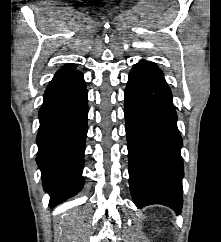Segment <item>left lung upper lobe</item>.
Instances as JSON below:
<instances>
[{
	"mask_svg": "<svg viewBox=\"0 0 221 242\" xmlns=\"http://www.w3.org/2000/svg\"><path fill=\"white\" fill-rule=\"evenodd\" d=\"M136 65H139V66H142V67H145V68L151 69V70H153L155 73H157V74H159V75H162V72H161V70L158 68V66L155 65L154 63L150 62V61H141V62L137 63Z\"/></svg>",
	"mask_w": 221,
	"mask_h": 242,
	"instance_id": "1",
	"label": "left lung upper lobe"
}]
</instances>
